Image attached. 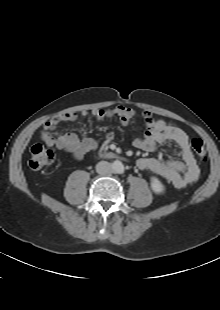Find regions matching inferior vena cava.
<instances>
[{
  "instance_id": "602c4592",
  "label": "inferior vena cava",
  "mask_w": 220,
  "mask_h": 310,
  "mask_svg": "<svg viewBox=\"0 0 220 310\" xmlns=\"http://www.w3.org/2000/svg\"><path fill=\"white\" fill-rule=\"evenodd\" d=\"M96 172L101 175L112 173V165L107 161H100L96 165Z\"/></svg>"
}]
</instances>
